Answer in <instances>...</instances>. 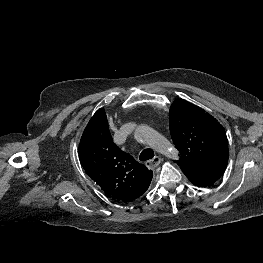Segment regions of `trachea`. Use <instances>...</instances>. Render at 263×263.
<instances>
[{"mask_svg": "<svg viewBox=\"0 0 263 263\" xmlns=\"http://www.w3.org/2000/svg\"><path fill=\"white\" fill-rule=\"evenodd\" d=\"M154 157V152L152 149H144L140 156H139V159L141 161H146V160H149V159H152Z\"/></svg>", "mask_w": 263, "mask_h": 263, "instance_id": "obj_1", "label": "trachea"}]
</instances>
